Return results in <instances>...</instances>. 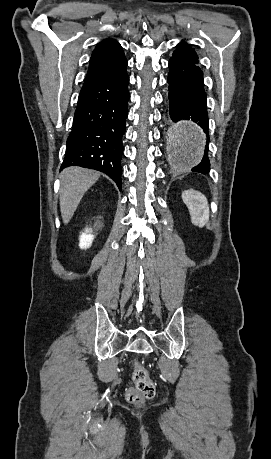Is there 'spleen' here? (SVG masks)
<instances>
[{
    "instance_id": "obj_1",
    "label": "spleen",
    "mask_w": 271,
    "mask_h": 459,
    "mask_svg": "<svg viewBox=\"0 0 271 459\" xmlns=\"http://www.w3.org/2000/svg\"><path fill=\"white\" fill-rule=\"evenodd\" d=\"M184 204H186L190 216L191 222L195 224V226H199V228H204L207 222H209V206L208 202L200 192H195V200H183Z\"/></svg>"
}]
</instances>
